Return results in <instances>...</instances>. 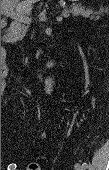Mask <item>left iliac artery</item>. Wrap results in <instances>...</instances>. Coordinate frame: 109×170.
<instances>
[{
    "mask_svg": "<svg viewBox=\"0 0 109 170\" xmlns=\"http://www.w3.org/2000/svg\"><path fill=\"white\" fill-rule=\"evenodd\" d=\"M82 166L84 167V169L88 168V164L87 163H82Z\"/></svg>",
    "mask_w": 109,
    "mask_h": 170,
    "instance_id": "44dca946",
    "label": "left iliac artery"
}]
</instances>
